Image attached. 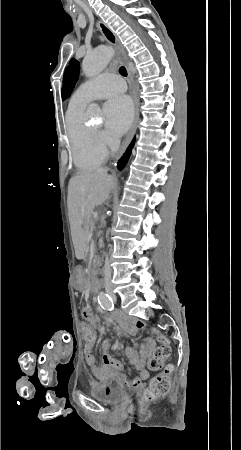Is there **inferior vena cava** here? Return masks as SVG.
<instances>
[{
	"label": "inferior vena cava",
	"instance_id": "1",
	"mask_svg": "<svg viewBox=\"0 0 241 450\" xmlns=\"http://www.w3.org/2000/svg\"><path fill=\"white\" fill-rule=\"evenodd\" d=\"M112 276V270L110 266V262L108 260V256H106L105 266H104V278L107 282H110Z\"/></svg>",
	"mask_w": 241,
	"mask_h": 450
}]
</instances>
